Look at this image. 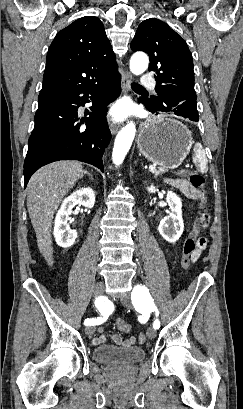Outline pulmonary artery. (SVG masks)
Here are the masks:
<instances>
[{
  "label": "pulmonary artery",
  "instance_id": "1",
  "mask_svg": "<svg viewBox=\"0 0 243 409\" xmlns=\"http://www.w3.org/2000/svg\"><path fill=\"white\" fill-rule=\"evenodd\" d=\"M141 85L144 87L154 88L155 80L151 75L145 74L141 78Z\"/></svg>",
  "mask_w": 243,
  "mask_h": 409
}]
</instances>
